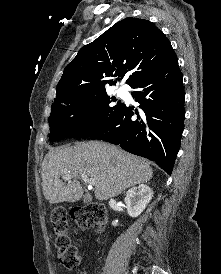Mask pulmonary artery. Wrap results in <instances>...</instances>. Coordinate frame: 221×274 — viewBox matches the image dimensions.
Segmentation results:
<instances>
[{"label": "pulmonary artery", "instance_id": "pulmonary-artery-1", "mask_svg": "<svg viewBox=\"0 0 221 274\" xmlns=\"http://www.w3.org/2000/svg\"><path fill=\"white\" fill-rule=\"evenodd\" d=\"M117 93H118L120 96H124L126 92L124 91V89L120 88V89H118Z\"/></svg>", "mask_w": 221, "mask_h": 274}]
</instances>
